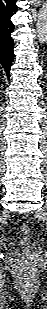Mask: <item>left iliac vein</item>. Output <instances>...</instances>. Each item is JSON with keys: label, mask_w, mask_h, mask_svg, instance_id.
Returning a JSON list of instances; mask_svg holds the SVG:
<instances>
[{"label": "left iliac vein", "mask_w": 47, "mask_h": 309, "mask_svg": "<svg viewBox=\"0 0 47 309\" xmlns=\"http://www.w3.org/2000/svg\"><path fill=\"white\" fill-rule=\"evenodd\" d=\"M40 214H41L42 216H45V215H46V210L43 208V209L40 211Z\"/></svg>", "instance_id": "4c4485c4"}]
</instances>
